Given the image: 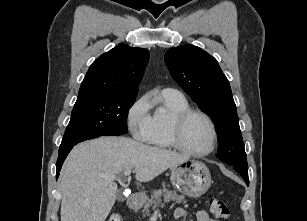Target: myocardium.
Returning a JSON list of instances; mask_svg holds the SVG:
<instances>
[{"mask_svg":"<svg viewBox=\"0 0 307 221\" xmlns=\"http://www.w3.org/2000/svg\"><path fill=\"white\" fill-rule=\"evenodd\" d=\"M201 116L203 117L209 124L211 133H212V139H211V145L208 150L204 152H193L189 149H187L183 143H182V133L185 127V124L192 116ZM171 142L175 149L180 151L181 153L190 156V157H196L201 158L210 155L216 148L217 142H218V131L216 124L214 120L211 118L209 114L206 112L199 110V109H192L189 108L187 110H184L180 113H178L172 124V130H171Z\"/></svg>","mask_w":307,"mask_h":221,"instance_id":"obj_1","label":"myocardium"}]
</instances>
